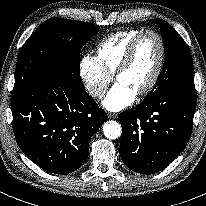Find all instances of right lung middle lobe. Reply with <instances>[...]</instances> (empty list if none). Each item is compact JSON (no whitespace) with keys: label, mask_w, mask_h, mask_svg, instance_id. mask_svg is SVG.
<instances>
[{"label":"right lung middle lobe","mask_w":206,"mask_h":206,"mask_svg":"<svg viewBox=\"0 0 206 206\" xmlns=\"http://www.w3.org/2000/svg\"><path fill=\"white\" fill-rule=\"evenodd\" d=\"M98 28L87 22L51 18L27 39L18 55L12 98L36 81L55 77L69 86L84 90L80 77V51Z\"/></svg>","instance_id":"right-lung-middle-lobe-1"}]
</instances>
